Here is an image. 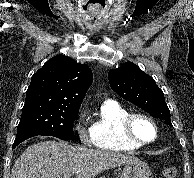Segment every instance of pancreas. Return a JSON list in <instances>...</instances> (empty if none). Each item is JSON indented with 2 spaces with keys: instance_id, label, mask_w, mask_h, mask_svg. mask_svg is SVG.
Listing matches in <instances>:
<instances>
[{
  "instance_id": "pancreas-1",
  "label": "pancreas",
  "mask_w": 194,
  "mask_h": 178,
  "mask_svg": "<svg viewBox=\"0 0 194 178\" xmlns=\"http://www.w3.org/2000/svg\"><path fill=\"white\" fill-rule=\"evenodd\" d=\"M100 178H107V177H105V176H102V177H100Z\"/></svg>"
}]
</instances>
